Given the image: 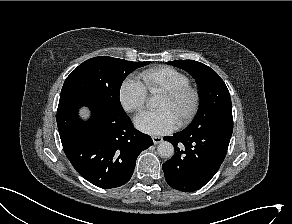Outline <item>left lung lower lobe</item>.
Instances as JSON below:
<instances>
[{
  "instance_id": "1",
  "label": "left lung lower lobe",
  "mask_w": 292,
  "mask_h": 224,
  "mask_svg": "<svg viewBox=\"0 0 292 224\" xmlns=\"http://www.w3.org/2000/svg\"><path fill=\"white\" fill-rule=\"evenodd\" d=\"M232 131L233 124H222L197 132L184 129L164 137L175 148L174 156L162 165L166 182L183 192L203 187L222 164Z\"/></svg>"
}]
</instances>
